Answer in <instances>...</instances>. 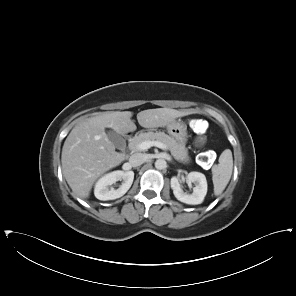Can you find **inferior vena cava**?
Instances as JSON below:
<instances>
[{
	"label": "inferior vena cava",
	"mask_w": 296,
	"mask_h": 296,
	"mask_svg": "<svg viewBox=\"0 0 296 296\" xmlns=\"http://www.w3.org/2000/svg\"><path fill=\"white\" fill-rule=\"evenodd\" d=\"M146 161V157L142 153H135L130 156L129 164L131 167H138Z\"/></svg>",
	"instance_id": "602c4592"
}]
</instances>
